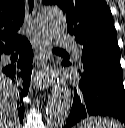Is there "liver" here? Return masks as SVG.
Listing matches in <instances>:
<instances>
[{
	"label": "liver",
	"instance_id": "liver-1",
	"mask_svg": "<svg viewBox=\"0 0 125 128\" xmlns=\"http://www.w3.org/2000/svg\"><path fill=\"white\" fill-rule=\"evenodd\" d=\"M16 98L15 87L0 74V128H19Z\"/></svg>",
	"mask_w": 125,
	"mask_h": 128
}]
</instances>
